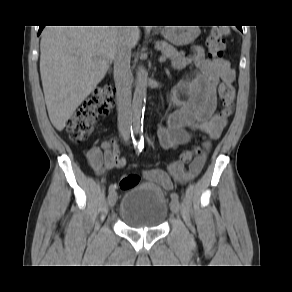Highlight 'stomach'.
<instances>
[{"mask_svg": "<svg viewBox=\"0 0 292 292\" xmlns=\"http://www.w3.org/2000/svg\"><path fill=\"white\" fill-rule=\"evenodd\" d=\"M163 36L177 46L192 43L199 35L198 26L172 27L163 30Z\"/></svg>", "mask_w": 292, "mask_h": 292, "instance_id": "obj_1", "label": "stomach"}]
</instances>
